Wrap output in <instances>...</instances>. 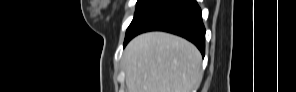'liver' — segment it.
I'll use <instances>...</instances> for the list:
<instances>
[{
	"label": "liver",
	"mask_w": 296,
	"mask_h": 92,
	"mask_svg": "<svg viewBox=\"0 0 296 92\" xmlns=\"http://www.w3.org/2000/svg\"><path fill=\"white\" fill-rule=\"evenodd\" d=\"M127 92H192L202 57L187 40L164 32L132 39L123 54Z\"/></svg>",
	"instance_id": "1"
}]
</instances>
